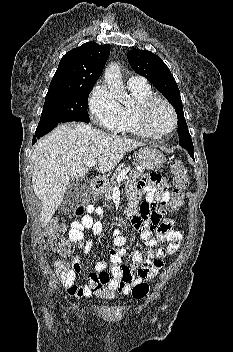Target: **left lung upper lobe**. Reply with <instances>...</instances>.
Instances as JSON below:
<instances>
[{"label":"left lung upper lobe","instance_id":"5c2ea615","mask_svg":"<svg viewBox=\"0 0 233 352\" xmlns=\"http://www.w3.org/2000/svg\"><path fill=\"white\" fill-rule=\"evenodd\" d=\"M130 66L139 75L147 78L175 108L178 118L179 145L193 150V143L184 118L180 91L169 68L162 59L147 50L133 49L127 53Z\"/></svg>","mask_w":233,"mask_h":352}]
</instances>
